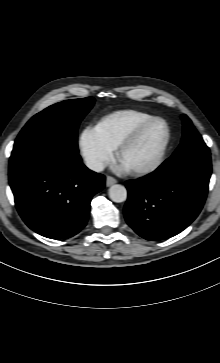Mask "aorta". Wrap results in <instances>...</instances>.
<instances>
[{
	"instance_id": "aorta-1",
	"label": "aorta",
	"mask_w": 220,
	"mask_h": 363,
	"mask_svg": "<svg viewBox=\"0 0 220 363\" xmlns=\"http://www.w3.org/2000/svg\"><path fill=\"white\" fill-rule=\"evenodd\" d=\"M109 197L113 202L121 203L127 199V190L123 185L115 184L109 188Z\"/></svg>"
}]
</instances>
